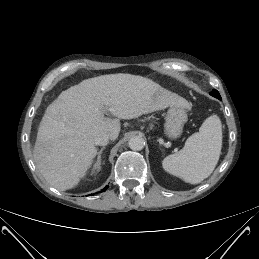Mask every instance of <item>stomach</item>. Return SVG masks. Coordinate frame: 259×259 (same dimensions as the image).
<instances>
[{
	"mask_svg": "<svg viewBox=\"0 0 259 259\" xmlns=\"http://www.w3.org/2000/svg\"><path fill=\"white\" fill-rule=\"evenodd\" d=\"M186 119L187 113L183 107L171 106L164 124L165 135L172 140L179 138L183 132Z\"/></svg>",
	"mask_w": 259,
	"mask_h": 259,
	"instance_id": "1",
	"label": "stomach"
}]
</instances>
